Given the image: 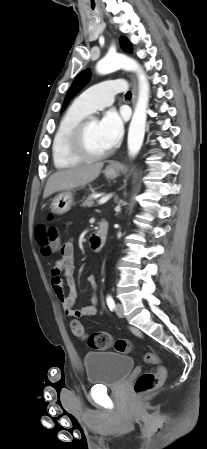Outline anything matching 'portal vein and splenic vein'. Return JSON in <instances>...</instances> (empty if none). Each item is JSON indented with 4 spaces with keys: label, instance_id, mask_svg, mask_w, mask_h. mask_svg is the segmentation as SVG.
I'll return each instance as SVG.
<instances>
[{
    "label": "portal vein and splenic vein",
    "instance_id": "18ae733b",
    "mask_svg": "<svg viewBox=\"0 0 207 449\" xmlns=\"http://www.w3.org/2000/svg\"><path fill=\"white\" fill-rule=\"evenodd\" d=\"M111 197H112L111 194L103 196L102 198L99 199L98 204L100 205L105 204Z\"/></svg>",
    "mask_w": 207,
    "mask_h": 449
}]
</instances>
